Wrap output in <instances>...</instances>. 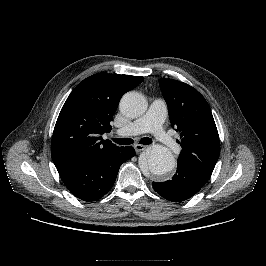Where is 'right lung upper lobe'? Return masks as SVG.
<instances>
[{
    "instance_id": "right-lung-upper-lobe-1",
    "label": "right lung upper lobe",
    "mask_w": 266,
    "mask_h": 266,
    "mask_svg": "<svg viewBox=\"0 0 266 266\" xmlns=\"http://www.w3.org/2000/svg\"><path fill=\"white\" fill-rule=\"evenodd\" d=\"M143 80L141 76L98 73L79 83L54 128L51 156L55 166L117 148L101 135L111 131L110 121L121 97Z\"/></svg>"
}]
</instances>
